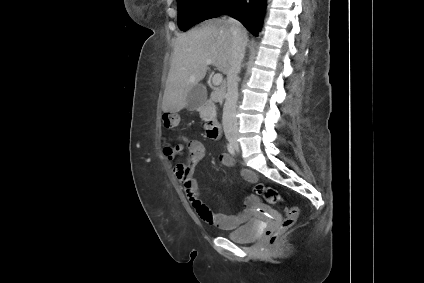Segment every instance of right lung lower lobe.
Returning a JSON list of instances; mask_svg holds the SVG:
<instances>
[{"instance_id": "obj_1", "label": "right lung lower lobe", "mask_w": 424, "mask_h": 283, "mask_svg": "<svg viewBox=\"0 0 424 283\" xmlns=\"http://www.w3.org/2000/svg\"><path fill=\"white\" fill-rule=\"evenodd\" d=\"M266 0H234L225 14L239 20L254 36L261 30Z\"/></svg>"}]
</instances>
